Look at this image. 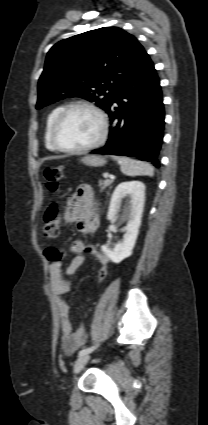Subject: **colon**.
<instances>
[{"label":"colon","mask_w":208,"mask_h":425,"mask_svg":"<svg viewBox=\"0 0 208 425\" xmlns=\"http://www.w3.org/2000/svg\"><path fill=\"white\" fill-rule=\"evenodd\" d=\"M64 169L62 167H48L43 172V178L47 189L51 193H56L59 190L61 180L63 178ZM60 231L59 206L57 202H53L44 216V236L49 239H54ZM45 255L52 262L61 261L64 257L62 250L57 248H48L45 250ZM108 274V267L101 266L97 272L96 282L104 281Z\"/></svg>","instance_id":"5ec220e1"}]
</instances>
